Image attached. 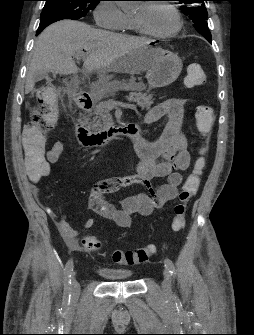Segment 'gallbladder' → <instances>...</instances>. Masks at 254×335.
Returning <instances> with one entry per match:
<instances>
[{
	"mask_svg": "<svg viewBox=\"0 0 254 335\" xmlns=\"http://www.w3.org/2000/svg\"><path fill=\"white\" fill-rule=\"evenodd\" d=\"M44 78H46V79L49 78L48 73H40L36 76L37 80H41V79H44Z\"/></svg>",
	"mask_w": 254,
	"mask_h": 335,
	"instance_id": "bac80fb5",
	"label": "gallbladder"
}]
</instances>
